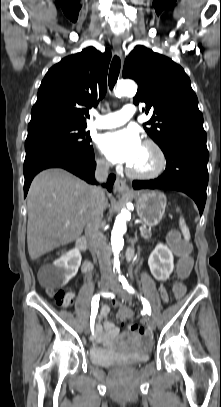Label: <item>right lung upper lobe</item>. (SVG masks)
I'll return each mask as SVG.
<instances>
[{
	"label": "right lung upper lobe",
	"mask_w": 221,
	"mask_h": 407,
	"mask_svg": "<svg viewBox=\"0 0 221 407\" xmlns=\"http://www.w3.org/2000/svg\"><path fill=\"white\" fill-rule=\"evenodd\" d=\"M111 51L88 47L49 69L31 111L28 128L48 124L86 125L88 109L96 106L107 90Z\"/></svg>",
	"instance_id": "1"
}]
</instances>
